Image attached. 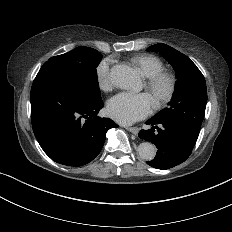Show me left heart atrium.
Here are the masks:
<instances>
[{
    "label": "left heart atrium",
    "mask_w": 232,
    "mask_h": 232,
    "mask_svg": "<svg viewBox=\"0 0 232 232\" xmlns=\"http://www.w3.org/2000/svg\"><path fill=\"white\" fill-rule=\"evenodd\" d=\"M153 102L148 94L120 93L107 103V113L119 123L129 125L149 115Z\"/></svg>",
    "instance_id": "left-heart-atrium-1"
}]
</instances>
